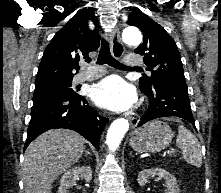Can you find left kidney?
<instances>
[{
    "label": "left kidney",
    "instance_id": "left-kidney-1",
    "mask_svg": "<svg viewBox=\"0 0 221 193\" xmlns=\"http://www.w3.org/2000/svg\"><path fill=\"white\" fill-rule=\"evenodd\" d=\"M157 175L159 178H163L166 181V187L168 188V193H179V187L176 178L162 168H152L144 169L139 172L137 181L140 186H144L148 182L150 176Z\"/></svg>",
    "mask_w": 221,
    "mask_h": 193
}]
</instances>
